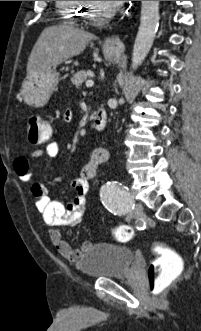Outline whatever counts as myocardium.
<instances>
[{"instance_id":"1","label":"myocardium","mask_w":201,"mask_h":331,"mask_svg":"<svg viewBox=\"0 0 201 331\" xmlns=\"http://www.w3.org/2000/svg\"><path fill=\"white\" fill-rule=\"evenodd\" d=\"M86 4L87 6L86 9L84 10V19L90 24L93 25L103 24L114 15V10L109 9L103 12L102 14L95 16L93 14V9L95 8V2L87 1Z\"/></svg>"}]
</instances>
